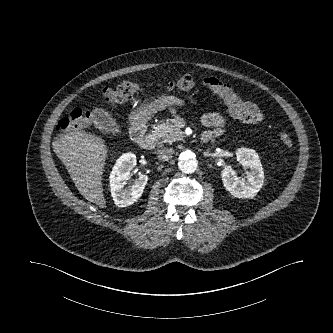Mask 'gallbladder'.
<instances>
[{
	"mask_svg": "<svg viewBox=\"0 0 333 333\" xmlns=\"http://www.w3.org/2000/svg\"><path fill=\"white\" fill-rule=\"evenodd\" d=\"M92 121L101 132L118 134L120 133V126L111 117V115L102 108H95L92 111Z\"/></svg>",
	"mask_w": 333,
	"mask_h": 333,
	"instance_id": "gallbladder-1",
	"label": "gallbladder"
}]
</instances>
